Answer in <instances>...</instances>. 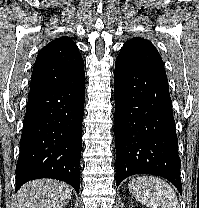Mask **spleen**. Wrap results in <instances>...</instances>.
<instances>
[{
    "label": "spleen",
    "mask_w": 199,
    "mask_h": 208,
    "mask_svg": "<svg viewBox=\"0 0 199 208\" xmlns=\"http://www.w3.org/2000/svg\"><path fill=\"white\" fill-rule=\"evenodd\" d=\"M128 189L137 201L150 208H179L172 187L160 178L142 176L133 179Z\"/></svg>",
    "instance_id": "1"
}]
</instances>
